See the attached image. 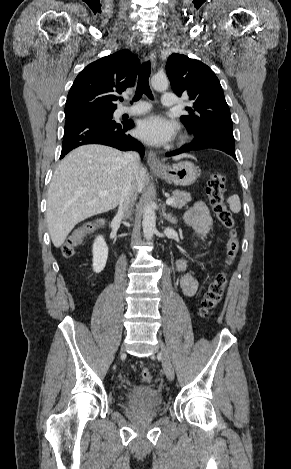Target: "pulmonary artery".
<instances>
[{"label":"pulmonary artery","mask_w":291,"mask_h":469,"mask_svg":"<svg viewBox=\"0 0 291 469\" xmlns=\"http://www.w3.org/2000/svg\"><path fill=\"white\" fill-rule=\"evenodd\" d=\"M177 103L176 96L171 92H164L161 98V104L164 107H173ZM150 109V105L147 102H138L135 106L130 108H122L121 114H143Z\"/></svg>","instance_id":"1"}]
</instances>
